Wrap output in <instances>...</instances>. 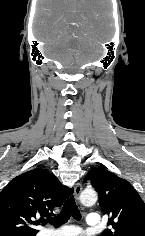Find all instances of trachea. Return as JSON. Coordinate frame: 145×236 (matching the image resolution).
Wrapping results in <instances>:
<instances>
[{
	"instance_id": "obj_1",
	"label": "trachea",
	"mask_w": 145,
	"mask_h": 236,
	"mask_svg": "<svg viewBox=\"0 0 145 236\" xmlns=\"http://www.w3.org/2000/svg\"><path fill=\"white\" fill-rule=\"evenodd\" d=\"M73 217L76 220H81L80 211L75 203L74 197H70L65 201L62 211L55 217H51L45 220V223L52 224L55 228L60 227L65 224L70 217Z\"/></svg>"
}]
</instances>
